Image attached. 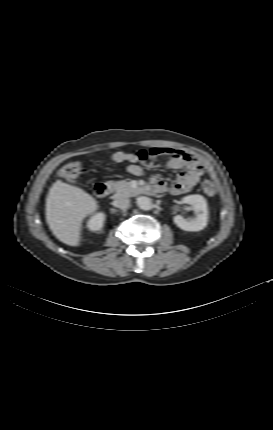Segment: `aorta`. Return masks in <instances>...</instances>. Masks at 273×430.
Here are the masks:
<instances>
[{
    "instance_id": "aorta-1",
    "label": "aorta",
    "mask_w": 273,
    "mask_h": 430,
    "mask_svg": "<svg viewBox=\"0 0 273 430\" xmlns=\"http://www.w3.org/2000/svg\"><path fill=\"white\" fill-rule=\"evenodd\" d=\"M136 203L138 207L144 211H149L153 208L151 199L146 196H139L136 199Z\"/></svg>"
}]
</instances>
